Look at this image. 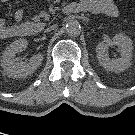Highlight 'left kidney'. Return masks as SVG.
Here are the masks:
<instances>
[{"mask_svg":"<svg viewBox=\"0 0 135 135\" xmlns=\"http://www.w3.org/2000/svg\"><path fill=\"white\" fill-rule=\"evenodd\" d=\"M112 44L116 45L120 50V58L110 60L107 54L109 44L104 41L99 42L96 46L97 58L107 71L121 72L131 65L133 43L128 36L119 33L112 38Z\"/></svg>","mask_w":135,"mask_h":135,"instance_id":"1","label":"left kidney"}]
</instances>
